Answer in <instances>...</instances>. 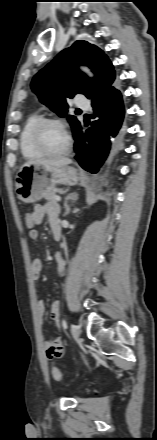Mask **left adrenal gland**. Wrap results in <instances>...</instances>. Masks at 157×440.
Segmentation results:
<instances>
[{"instance_id": "obj_1", "label": "left adrenal gland", "mask_w": 157, "mask_h": 440, "mask_svg": "<svg viewBox=\"0 0 157 440\" xmlns=\"http://www.w3.org/2000/svg\"><path fill=\"white\" fill-rule=\"evenodd\" d=\"M77 199H78L77 195H69L66 198V201L64 203V208H65L64 217H66L70 213V206L68 205V200H72L73 202H75Z\"/></svg>"}]
</instances>
